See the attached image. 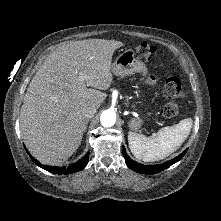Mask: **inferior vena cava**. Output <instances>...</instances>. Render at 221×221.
<instances>
[{
	"label": "inferior vena cava",
	"mask_w": 221,
	"mask_h": 221,
	"mask_svg": "<svg viewBox=\"0 0 221 221\" xmlns=\"http://www.w3.org/2000/svg\"><path fill=\"white\" fill-rule=\"evenodd\" d=\"M96 113V107L92 104H88L82 109V115L84 118H91Z\"/></svg>",
	"instance_id": "obj_1"
}]
</instances>
